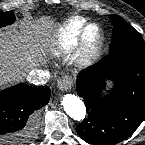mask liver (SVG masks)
<instances>
[{"instance_id": "6515ba94", "label": "liver", "mask_w": 145, "mask_h": 145, "mask_svg": "<svg viewBox=\"0 0 145 145\" xmlns=\"http://www.w3.org/2000/svg\"><path fill=\"white\" fill-rule=\"evenodd\" d=\"M50 23L23 22L20 32H0V85L18 81L39 60Z\"/></svg>"}]
</instances>
